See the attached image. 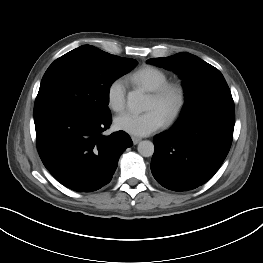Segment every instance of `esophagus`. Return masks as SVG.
I'll return each instance as SVG.
<instances>
[{"mask_svg":"<svg viewBox=\"0 0 263 263\" xmlns=\"http://www.w3.org/2000/svg\"><path fill=\"white\" fill-rule=\"evenodd\" d=\"M132 141H133V144L136 145L141 141V138L136 137V136H132Z\"/></svg>","mask_w":263,"mask_h":263,"instance_id":"esophagus-1","label":"esophagus"}]
</instances>
